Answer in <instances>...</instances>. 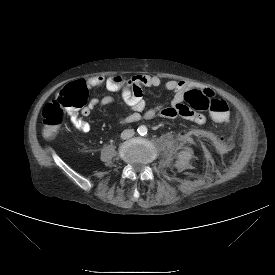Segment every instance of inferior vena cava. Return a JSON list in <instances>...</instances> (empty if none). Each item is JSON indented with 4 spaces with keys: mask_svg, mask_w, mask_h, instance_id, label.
<instances>
[{
    "mask_svg": "<svg viewBox=\"0 0 275 275\" xmlns=\"http://www.w3.org/2000/svg\"><path fill=\"white\" fill-rule=\"evenodd\" d=\"M135 134L133 129H126L121 133V138L122 139H128L131 138Z\"/></svg>",
    "mask_w": 275,
    "mask_h": 275,
    "instance_id": "1",
    "label": "inferior vena cava"
}]
</instances>
